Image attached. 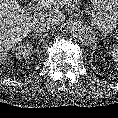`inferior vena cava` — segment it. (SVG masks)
<instances>
[{"instance_id":"inferior-vena-cava-1","label":"inferior vena cava","mask_w":118,"mask_h":118,"mask_svg":"<svg viewBox=\"0 0 118 118\" xmlns=\"http://www.w3.org/2000/svg\"><path fill=\"white\" fill-rule=\"evenodd\" d=\"M55 24H57V20L53 17H48L46 15L40 16L36 21V27L38 28V31L41 33L46 32Z\"/></svg>"}]
</instances>
